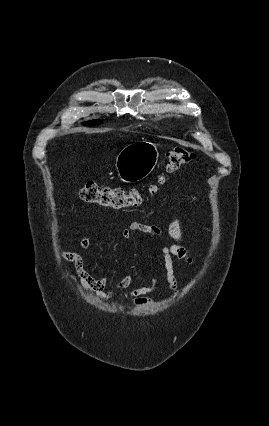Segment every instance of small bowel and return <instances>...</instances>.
<instances>
[{"label": "small bowel", "mask_w": 269, "mask_h": 426, "mask_svg": "<svg viewBox=\"0 0 269 426\" xmlns=\"http://www.w3.org/2000/svg\"><path fill=\"white\" fill-rule=\"evenodd\" d=\"M134 232L141 233L151 239L163 238L166 240L165 245L160 249V253L165 271L167 288L171 293L176 294L178 291V280L174 273V257L182 260L187 265H191L193 262L192 257L183 245V233L179 221L174 218L170 222L166 232L155 224L133 222L129 227L121 231V237L124 240H130ZM92 242V237H85L81 241V246L84 250H89L92 246ZM62 255L67 261L74 264L75 275L68 274L67 277L69 280L73 283L79 282L88 294L93 293L103 301L110 299L114 293L128 288L133 282V275L127 274L111 291H106L107 284L110 280V272L104 274L100 278H95L85 268L84 260L79 253L63 251ZM157 283L158 274H155L149 285L133 288L130 290L129 295L138 305H152L156 301L150 294L154 292Z\"/></svg>", "instance_id": "small-bowel-1"}]
</instances>
